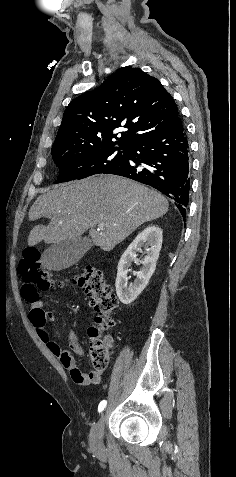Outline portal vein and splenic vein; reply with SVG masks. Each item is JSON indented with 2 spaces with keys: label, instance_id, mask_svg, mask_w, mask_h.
Returning <instances> with one entry per match:
<instances>
[{
  "label": "portal vein and splenic vein",
  "instance_id": "1",
  "mask_svg": "<svg viewBox=\"0 0 236 477\" xmlns=\"http://www.w3.org/2000/svg\"><path fill=\"white\" fill-rule=\"evenodd\" d=\"M102 227H103V224H99V225H98V228H102Z\"/></svg>",
  "mask_w": 236,
  "mask_h": 477
}]
</instances>
